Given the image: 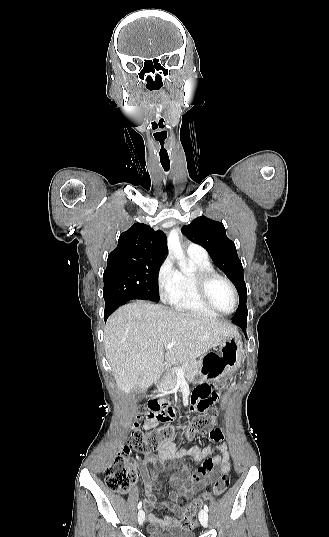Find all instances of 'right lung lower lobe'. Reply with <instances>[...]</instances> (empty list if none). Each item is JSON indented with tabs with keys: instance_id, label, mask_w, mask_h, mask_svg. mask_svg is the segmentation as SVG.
<instances>
[{
	"instance_id": "98d812e1",
	"label": "right lung lower lobe",
	"mask_w": 329,
	"mask_h": 537,
	"mask_svg": "<svg viewBox=\"0 0 329 537\" xmlns=\"http://www.w3.org/2000/svg\"><path fill=\"white\" fill-rule=\"evenodd\" d=\"M116 308V307H115ZM113 305H107L104 313V320L106 321L108 316L115 310Z\"/></svg>"
}]
</instances>
